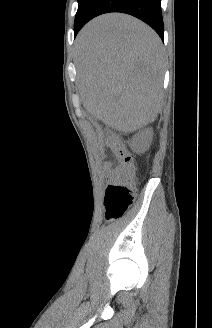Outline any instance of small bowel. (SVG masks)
<instances>
[{"instance_id":"1","label":"small bowel","mask_w":212,"mask_h":328,"mask_svg":"<svg viewBox=\"0 0 212 328\" xmlns=\"http://www.w3.org/2000/svg\"><path fill=\"white\" fill-rule=\"evenodd\" d=\"M110 164H107L106 167L109 168Z\"/></svg>"}]
</instances>
